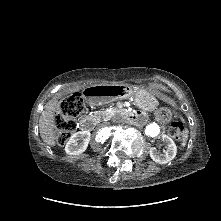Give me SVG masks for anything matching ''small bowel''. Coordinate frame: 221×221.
<instances>
[{"label":"small bowel","mask_w":221,"mask_h":221,"mask_svg":"<svg viewBox=\"0 0 221 221\" xmlns=\"http://www.w3.org/2000/svg\"><path fill=\"white\" fill-rule=\"evenodd\" d=\"M163 99H164L165 101H167V102H170V101H171V99H170L168 96H164Z\"/></svg>","instance_id":"c3829d8e"}]
</instances>
